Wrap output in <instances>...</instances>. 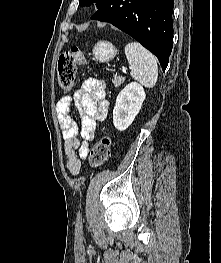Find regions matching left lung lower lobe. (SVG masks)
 <instances>
[{"label":"left lung lower lobe","mask_w":221,"mask_h":263,"mask_svg":"<svg viewBox=\"0 0 221 263\" xmlns=\"http://www.w3.org/2000/svg\"><path fill=\"white\" fill-rule=\"evenodd\" d=\"M173 0H105L91 19L111 23L157 56L166 69L173 44Z\"/></svg>","instance_id":"obj_1"}]
</instances>
